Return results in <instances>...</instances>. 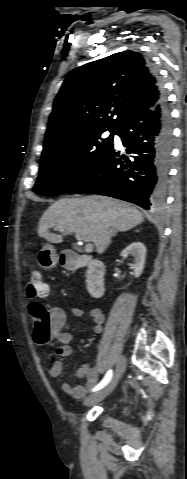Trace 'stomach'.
Masks as SVG:
<instances>
[{"instance_id": "stomach-1", "label": "stomach", "mask_w": 187, "mask_h": 479, "mask_svg": "<svg viewBox=\"0 0 187 479\" xmlns=\"http://www.w3.org/2000/svg\"><path fill=\"white\" fill-rule=\"evenodd\" d=\"M58 262L55 248L50 244H43L38 252V264L44 269L53 268Z\"/></svg>"}]
</instances>
